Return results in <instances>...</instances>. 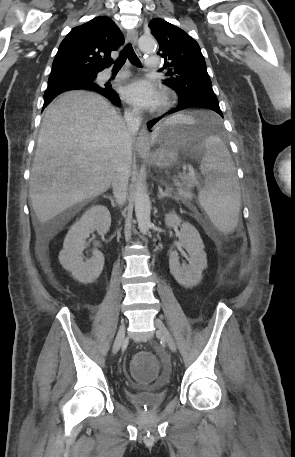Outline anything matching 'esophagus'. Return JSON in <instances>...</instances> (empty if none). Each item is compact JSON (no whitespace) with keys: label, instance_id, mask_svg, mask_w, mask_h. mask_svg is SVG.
<instances>
[{"label":"esophagus","instance_id":"1","mask_svg":"<svg viewBox=\"0 0 295 457\" xmlns=\"http://www.w3.org/2000/svg\"><path fill=\"white\" fill-rule=\"evenodd\" d=\"M127 41L132 43L133 45H137L138 41V32L135 29L129 30L127 33ZM148 139L149 134L145 128H142L138 134L136 146L141 152L148 151Z\"/></svg>","mask_w":295,"mask_h":457}]
</instances>
